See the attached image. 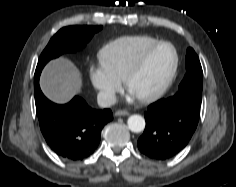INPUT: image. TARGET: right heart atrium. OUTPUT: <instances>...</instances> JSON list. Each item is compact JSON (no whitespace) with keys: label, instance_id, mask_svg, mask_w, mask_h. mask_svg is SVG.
<instances>
[{"label":"right heart atrium","instance_id":"right-heart-atrium-1","mask_svg":"<svg viewBox=\"0 0 236 187\" xmlns=\"http://www.w3.org/2000/svg\"><path fill=\"white\" fill-rule=\"evenodd\" d=\"M88 74L90 81L98 91L101 100L107 104L113 103L121 88V81L101 65H90Z\"/></svg>","mask_w":236,"mask_h":187}]
</instances>
